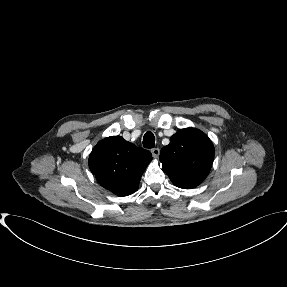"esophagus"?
<instances>
[{"label": "esophagus", "mask_w": 287, "mask_h": 287, "mask_svg": "<svg viewBox=\"0 0 287 287\" xmlns=\"http://www.w3.org/2000/svg\"><path fill=\"white\" fill-rule=\"evenodd\" d=\"M151 153H152V155H153L154 158H158V156H159V154H160V150H159V148H153V149L151 150Z\"/></svg>", "instance_id": "obj_1"}]
</instances>
